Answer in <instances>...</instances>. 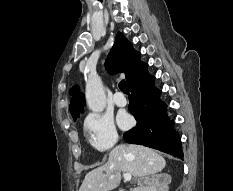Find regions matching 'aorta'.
Instances as JSON below:
<instances>
[{
	"label": "aorta",
	"mask_w": 233,
	"mask_h": 191,
	"mask_svg": "<svg viewBox=\"0 0 233 191\" xmlns=\"http://www.w3.org/2000/svg\"><path fill=\"white\" fill-rule=\"evenodd\" d=\"M86 101L88 107L96 113L102 112L106 107V96L101 82L96 77H90L86 82Z\"/></svg>",
	"instance_id": "obj_1"
}]
</instances>
